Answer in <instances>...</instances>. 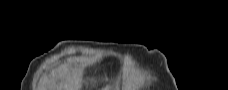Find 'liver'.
Segmentation results:
<instances>
[{
    "label": "liver",
    "mask_w": 228,
    "mask_h": 90,
    "mask_svg": "<svg viewBox=\"0 0 228 90\" xmlns=\"http://www.w3.org/2000/svg\"><path fill=\"white\" fill-rule=\"evenodd\" d=\"M66 83L60 85L59 88H63L60 90H79L81 88V79L77 73H73L72 75H68L66 77Z\"/></svg>",
    "instance_id": "6515ba94"
}]
</instances>
